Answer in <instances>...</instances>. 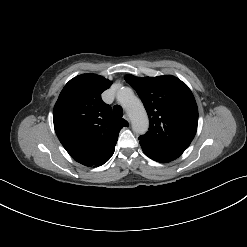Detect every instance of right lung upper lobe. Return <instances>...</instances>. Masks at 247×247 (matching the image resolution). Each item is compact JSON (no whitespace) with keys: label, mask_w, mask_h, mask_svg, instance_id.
<instances>
[{"label":"right lung upper lobe","mask_w":247,"mask_h":247,"mask_svg":"<svg viewBox=\"0 0 247 247\" xmlns=\"http://www.w3.org/2000/svg\"><path fill=\"white\" fill-rule=\"evenodd\" d=\"M112 82L96 74L71 79L53 110L56 135L67 152L85 166L95 165L113 147L128 122L101 100Z\"/></svg>","instance_id":"right-lung-upper-lobe-1"}]
</instances>
